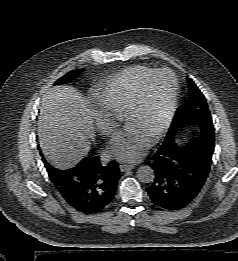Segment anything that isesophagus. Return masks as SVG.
Masks as SVG:
<instances>
[{
    "label": "esophagus",
    "mask_w": 238,
    "mask_h": 261,
    "mask_svg": "<svg viewBox=\"0 0 238 261\" xmlns=\"http://www.w3.org/2000/svg\"><path fill=\"white\" fill-rule=\"evenodd\" d=\"M119 168H120L121 172H125V171H128V170L134 169L135 166L133 164H125V163H123V164H121L119 166Z\"/></svg>",
    "instance_id": "obj_1"
}]
</instances>
